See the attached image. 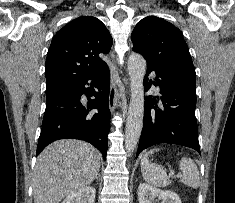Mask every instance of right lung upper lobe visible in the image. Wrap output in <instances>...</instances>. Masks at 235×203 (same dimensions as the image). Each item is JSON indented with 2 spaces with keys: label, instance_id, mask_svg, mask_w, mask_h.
I'll use <instances>...</instances> for the list:
<instances>
[{
  "label": "right lung upper lobe",
  "instance_id": "obj_1",
  "mask_svg": "<svg viewBox=\"0 0 235 203\" xmlns=\"http://www.w3.org/2000/svg\"><path fill=\"white\" fill-rule=\"evenodd\" d=\"M112 37L95 17L74 19L52 39L47 53L46 85H69L106 66L100 53H109Z\"/></svg>",
  "mask_w": 235,
  "mask_h": 203
}]
</instances>
